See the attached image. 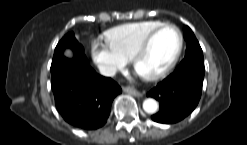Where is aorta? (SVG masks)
Returning a JSON list of instances; mask_svg holds the SVG:
<instances>
[{
  "mask_svg": "<svg viewBox=\"0 0 247 145\" xmlns=\"http://www.w3.org/2000/svg\"><path fill=\"white\" fill-rule=\"evenodd\" d=\"M143 109L149 114L156 113L158 110V102L152 98L145 99L143 102Z\"/></svg>",
  "mask_w": 247,
  "mask_h": 145,
  "instance_id": "aorta-1",
  "label": "aorta"
}]
</instances>
